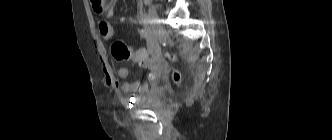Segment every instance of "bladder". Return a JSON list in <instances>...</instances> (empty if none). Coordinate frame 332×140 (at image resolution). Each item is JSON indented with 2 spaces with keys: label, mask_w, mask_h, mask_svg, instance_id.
Listing matches in <instances>:
<instances>
[{
  "label": "bladder",
  "mask_w": 332,
  "mask_h": 140,
  "mask_svg": "<svg viewBox=\"0 0 332 140\" xmlns=\"http://www.w3.org/2000/svg\"><path fill=\"white\" fill-rule=\"evenodd\" d=\"M160 96V91L157 86L153 88L150 92L145 95L139 97L137 102L143 105H150L157 97Z\"/></svg>",
  "instance_id": "obj_1"
}]
</instances>
